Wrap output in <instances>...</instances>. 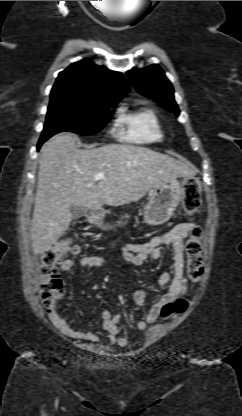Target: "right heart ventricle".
I'll use <instances>...</instances> for the list:
<instances>
[{"label":"right heart ventricle","mask_w":242,"mask_h":416,"mask_svg":"<svg viewBox=\"0 0 242 416\" xmlns=\"http://www.w3.org/2000/svg\"><path fill=\"white\" fill-rule=\"evenodd\" d=\"M118 123L125 140L134 143H153L163 138L161 122L156 112L148 107L134 110L119 108Z\"/></svg>","instance_id":"right-heart-ventricle-1"}]
</instances>
